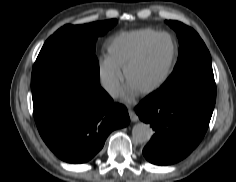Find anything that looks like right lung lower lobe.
Returning a JSON list of instances; mask_svg holds the SVG:
<instances>
[{"label": "right lung lower lobe", "instance_id": "98d812e1", "mask_svg": "<svg viewBox=\"0 0 236 182\" xmlns=\"http://www.w3.org/2000/svg\"><path fill=\"white\" fill-rule=\"evenodd\" d=\"M32 99L42 139L68 163L89 161L113 130L130 122L126 107L114 103L101 87L95 94L82 83L61 81L32 91Z\"/></svg>", "mask_w": 236, "mask_h": 182}]
</instances>
